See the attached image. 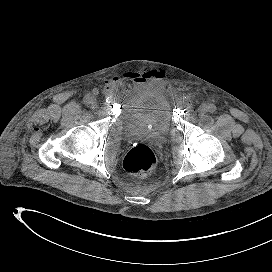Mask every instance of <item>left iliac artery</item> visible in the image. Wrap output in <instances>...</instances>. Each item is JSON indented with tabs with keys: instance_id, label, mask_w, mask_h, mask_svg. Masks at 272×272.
<instances>
[{
	"instance_id": "obj_1",
	"label": "left iliac artery",
	"mask_w": 272,
	"mask_h": 272,
	"mask_svg": "<svg viewBox=\"0 0 272 272\" xmlns=\"http://www.w3.org/2000/svg\"><path fill=\"white\" fill-rule=\"evenodd\" d=\"M216 106L214 105V104H210L209 106H208V111L210 112V113H215V111H216Z\"/></svg>"
}]
</instances>
